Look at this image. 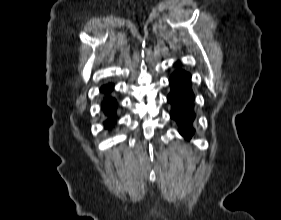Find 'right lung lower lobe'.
<instances>
[{
	"label": "right lung lower lobe",
	"mask_w": 281,
	"mask_h": 220,
	"mask_svg": "<svg viewBox=\"0 0 281 220\" xmlns=\"http://www.w3.org/2000/svg\"><path fill=\"white\" fill-rule=\"evenodd\" d=\"M113 89V85H104L101 90L107 95ZM117 108V101L115 99H104L102 103V109L108 116V119L104 122V127L111 126L115 121V109Z\"/></svg>",
	"instance_id": "obj_1"
}]
</instances>
